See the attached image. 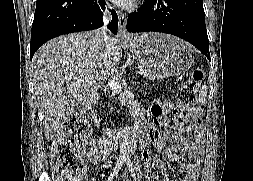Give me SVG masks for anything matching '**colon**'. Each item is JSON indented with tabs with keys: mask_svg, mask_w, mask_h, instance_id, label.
<instances>
[{
	"mask_svg": "<svg viewBox=\"0 0 253 181\" xmlns=\"http://www.w3.org/2000/svg\"><path fill=\"white\" fill-rule=\"evenodd\" d=\"M202 77V68L197 66L191 79L186 81L178 92L174 122L180 128L196 124L193 106ZM89 133V126L81 116H72L64 122L51 147L55 181H82L85 171L83 153Z\"/></svg>",
	"mask_w": 253,
	"mask_h": 181,
	"instance_id": "colon-1",
	"label": "colon"
}]
</instances>
